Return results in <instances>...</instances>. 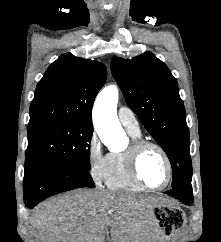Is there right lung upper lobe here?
<instances>
[{
	"mask_svg": "<svg viewBox=\"0 0 221 242\" xmlns=\"http://www.w3.org/2000/svg\"><path fill=\"white\" fill-rule=\"evenodd\" d=\"M106 76V67L96 60L61 55L37 84L29 126L49 122L92 125L93 102Z\"/></svg>",
	"mask_w": 221,
	"mask_h": 242,
	"instance_id": "right-lung-upper-lobe-1",
	"label": "right lung upper lobe"
}]
</instances>
